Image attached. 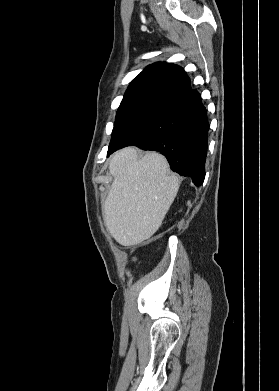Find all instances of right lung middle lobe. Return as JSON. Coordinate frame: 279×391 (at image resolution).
I'll return each instance as SVG.
<instances>
[{"label": "right lung middle lobe", "mask_w": 279, "mask_h": 391, "mask_svg": "<svg viewBox=\"0 0 279 391\" xmlns=\"http://www.w3.org/2000/svg\"><path fill=\"white\" fill-rule=\"evenodd\" d=\"M161 109V107L142 106L117 111L108 154L147 128Z\"/></svg>", "instance_id": "1"}]
</instances>
